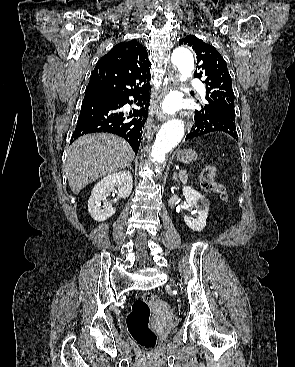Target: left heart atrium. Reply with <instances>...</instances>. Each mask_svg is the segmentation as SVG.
Listing matches in <instances>:
<instances>
[{
	"mask_svg": "<svg viewBox=\"0 0 295 367\" xmlns=\"http://www.w3.org/2000/svg\"><path fill=\"white\" fill-rule=\"evenodd\" d=\"M178 104L176 102V100L174 99H169L165 102L164 104V109L167 111V112H173L176 110Z\"/></svg>",
	"mask_w": 295,
	"mask_h": 367,
	"instance_id": "obj_1",
	"label": "left heart atrium"
}]
</instances>
